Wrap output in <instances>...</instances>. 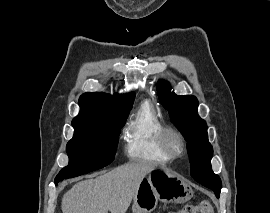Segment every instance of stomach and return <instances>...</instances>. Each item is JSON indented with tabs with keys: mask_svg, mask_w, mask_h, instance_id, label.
Masks as SVG:
<instances>
[{
	"mask_svg": "<svg viewBox=\"0 0 270 213\" xmlns=\"http://www.w3.org/2000/svg\"><path fill=\"white\" fill-rule=\"evenodd\" d=\"M192 196V188L184 178L159 168L141 181L133 199L132 213H151L158 201L185 203Z\"/></svg>",
	"mask_w": 270,
	"mask_h": 213,
	"instance_id": "stomach-1",
	"label": "stomach"
}]
</instances>
